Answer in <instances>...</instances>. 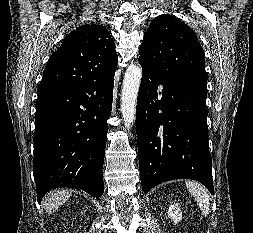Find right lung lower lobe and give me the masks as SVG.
<instances>
[{"instance_id": "right-lung-lower-lobe-1", "label": "right lung lower lobe", "mask_w": 253, "mask_h": 233, "mask_svg": "<svg viewBox=\"0 0 253 233\" xmlns=\"http://www.w3.org/2000/svg\"><path fill=\"white\" fill-rule=\"evenodd\" d=\"M114 73L38 92L33 173L37 200L59 187L99 199Z\"/></svg>"}]
</instances>
